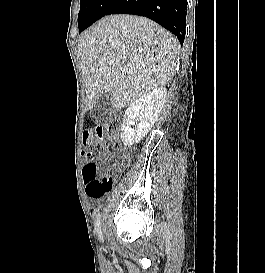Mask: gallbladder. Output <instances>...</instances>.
<instances>
[{"instance_id": "gallbladder-1", "label": "gallbladder", "mask_w": 265, "mask_h": 273, "mask_svg": "<svg viewBox=\"0 0 265 273\" xmlns=\"http://www.w3.org/2000/svg\"><path fill=\"white\" fill-rule=\"evenodd\" d=\"M117 114V109L112 104L110 94L104 93L100 96L91 111V117L95 122L107 123Z\"/></svg>"}]
</instances>
